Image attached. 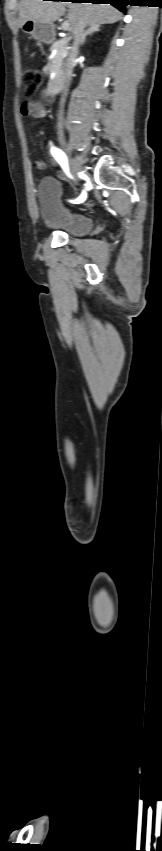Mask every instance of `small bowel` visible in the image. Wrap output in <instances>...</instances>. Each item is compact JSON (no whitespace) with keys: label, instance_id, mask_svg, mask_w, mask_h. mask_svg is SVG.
I'll return each instance as SVG.
<instances>
[{"label":"small bowel","instance_id":"1","mask_svg":"<svg viewBox=\"0 0 162 851\" xmlns=\"http://www.w3.org/2000/svg\"><path fill=\"white\" fill-rule=\"evenodd\" d=\"M42 94L44 96H49L51 94V89L49 87H44L42 89ZM21 113L24 116H31L33 118H45L47 116V109L45 105L41 102L28 101L22 105ZM55 160L56 159H54L52 156L49 157L50 164L55 165ZM34 166L39 170H43L46 168L47 163L41 158H36L34 160Z\"/></svg>","mask_w":162,"mask_h":851}]
</instances>
